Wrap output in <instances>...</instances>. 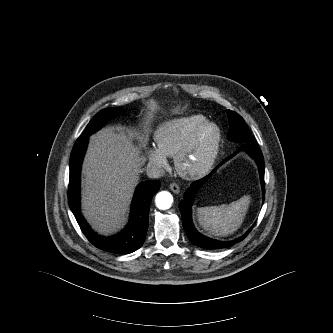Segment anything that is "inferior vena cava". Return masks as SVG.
<instances>
[{"instance_id": "inferior-vena-cava-1", "label": "inferior vena cava", "mask_w": 333, "mask_h": 333, "mask_svg": "<svg viewBox=\"0 0 333 333\" xmlns=\"http://www.w3.org/2000/svg\"><path fill=\"white\" fill-rule=\"evenodd\" d=\"M146 174L149 178L158 179L165 175V171L157 164H148Z\"/></svg>"}]
</instances>
